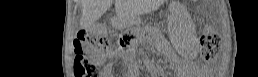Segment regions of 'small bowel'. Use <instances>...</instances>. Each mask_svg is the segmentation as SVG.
Segmentation results:
<instances>
[{
    "label": "small bowel",
    "mask_w": 258,
    "mask_h": 77,
    "mask_svg": "<svg viewBox=\"0 0 258 77\" xmlns=\"http://www.w3.org/2000/svg\"><path fill=\"white\" fill-rule=\"evenodd\" d=\"M89 58L94 61L96 64L104 63V56L96 51H92L89 54Z\"/></svg>",
    "instance_id": "c3829d8e"
}]
</instances>
